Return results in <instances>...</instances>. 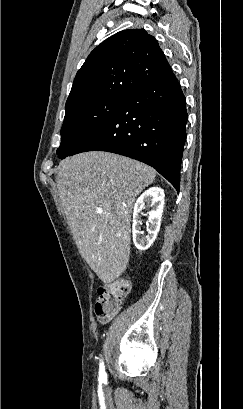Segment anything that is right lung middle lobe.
I'll return each mask as SVG.
<instances>
[{
    "mask_svg": "<svg viewBox=\"0 0 243 409\" xmlns=\"http://www.w3.org/2000/svg\"><path fill=\"white\" fill-rule=\"evenodd\" d=\"M126 98H99L65 108L61 144L56 154L67 157L76 147L103 128L117 113Z\"/></svg>",
    "mask_w": 243,
    "mask_h": 409,
    "instance_id": "dd1d6c3e",
    "label": "right lung middle lobe"
}]
</instances>
